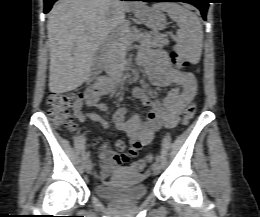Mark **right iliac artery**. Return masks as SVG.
Segmentation results:
<instances>
[{"label":"right iliac artery","instance_id":"82829eb1","mask_svg":"<svg viewBox=\"0 0 260 217\" xmlns=\"http://www.w3.org/2000/svg\"><path fill=\"white\" fill-rule=\"evenodd\" d=\"M89 158H90V152H87V153L85 154V160H89Z\"/></svg>","mask_w":260,"mask_h":217}]
</instances>
